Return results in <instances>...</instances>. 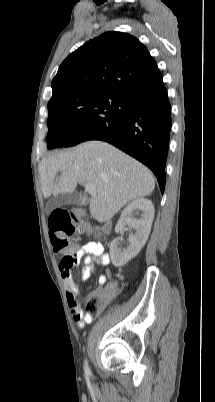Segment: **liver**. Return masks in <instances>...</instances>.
Wrapping results in <instances>:
<instances>
[{"instance_id":"liver-1","label":"liver","mask_w":215,"mask_h":402,"mask_svg":"<svg viewBox=\"0 0 215 402\" xmlns=\"http://www.w3.org/2000/svg\"><path fill=\"white\" fill-rule=\"evenodd\" d=\"M61 173L59 182L55 177ZM44 198L74 192L77 183H91L96 193L90 200L91 216L110 220L128 202L151 194L155 180L151 171L116 147L88 141L71 151L42 159L39 164Z\"/></svg>"}]
</instances>
